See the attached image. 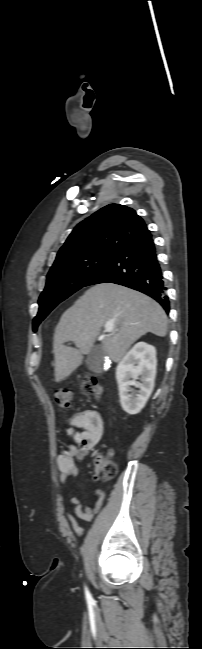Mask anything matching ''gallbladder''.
I'll use <instances>...</instances> for the list:
<instances>
[{
	"label": "gallbladder",
	"mask_w": 202,
	"mask_h": 649,
	"mask_svg": "<svg viewBox=\"0 0 202 649\" xmlns=\"http://www.w3.org/2000/svg\"><path fill=\"white\" fill-rule=\"evenodd\" d=\"M103 352L98 347H93L87 354L86 365L88 369L99 372L103 368Z\"/></svg>",
	"instance_id": "gallbladder-1"
}]
</instances>
